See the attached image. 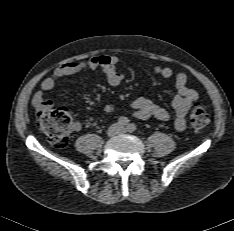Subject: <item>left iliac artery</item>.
I'll list each match as a JSON object with an SVG mask.
<instances>
[{
  "mask_svg": "<svg viewBox=\"0 0 234 231\" xmlns=\"http://www.w3.org/2000/svg\"><path fill=\"white\" fill-rule=\"evenodd\" d=\"M127 130H128L129 132H134V131L136 130L135 124H133V123L128 124Z\"/></svg>",
  "mask_w": 234,
  "mask_h": 231,
  "instance_id": "left-iliac-artery-1",
  "label": "left iliac artery"
}]
</instances>
